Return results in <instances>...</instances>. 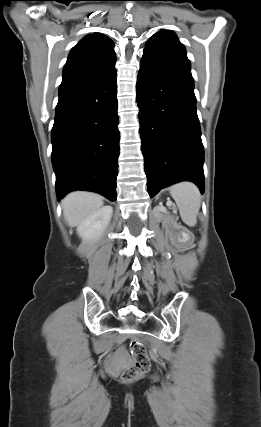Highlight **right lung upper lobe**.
Returning <instances> with one entry per match:
<instances>
[{"label": "right lung upper lobe", "mask_w": 261, "mask_h": 427, "mask_svg": "<svg viewBox=\"0 0 261 427\" xmlns=\"http://www.w3.org/2000/svg\"><path fill=\"white\" fill-rule=\"evenodd\" d=\"M113 42L104 35L92 34L71 50L63 70L59 91L101 77L115 69Z\"/></svg>", "instance_id": "cb5924a9"}]
</instances>
